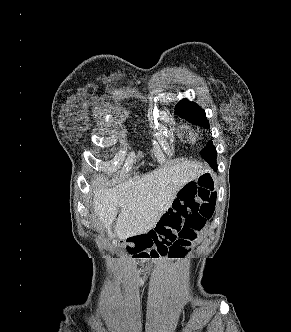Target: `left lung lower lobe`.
<instances>
[{
    "label": "left lung lower lobe",
    "instance_id": "0a47b994",
    "mask_svg": "<svg viewBox=\"0 0 291 332\" xmlns=\"http://www.w3.org/2000/svg\"><path fill=\"white\" fill-rule=\"evenodd\" d=\"M212 167H213V168H217V164H216V163L213 164Z\"/></svg>",
    "mask_w": 291,
    "mask_h": 332
}]
</instances>
